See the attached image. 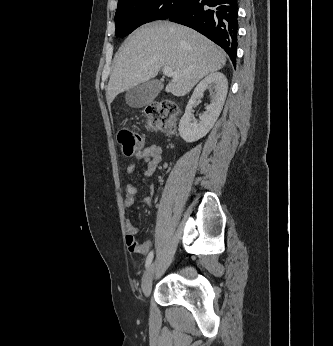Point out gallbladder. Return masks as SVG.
Instances as JSON below:
<instances>
[{
	"instance_id": "obj_1",
	"label": "gallbladder",
	"mask_w": 333,
	"mask_h": 346,
	"mask_svg": "<svg viewBox=\"0 0 333 346\" xmlns=\"http://www.w3.org/2000/svg\"><path fill=\"white\" fill-rule=\"evenodd\" d=\"M163 88L158 80H149L137 85L126 92V103L132 108H142L151 103Z\"/></svg>"
}]
</instances>
